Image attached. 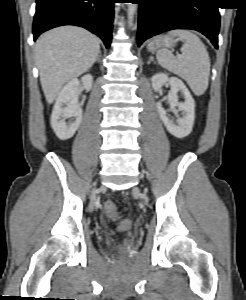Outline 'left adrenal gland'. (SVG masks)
Masks as SVG:
<instances>
[{"label":"left adrenal gland","instance_id":"1","mask_svg":"<svg viewBox=\"0 0 246 300\" xmlns=\"http://www.w3.org/2000/svg\"><path fill=\"white\" fill-rule=\"evenodd\" d=\"M152 61H154V58L153 57H150L149 61H148V64H150Z\"/></svg>","mask_w":246,"mask_h":300}]
</instances>
